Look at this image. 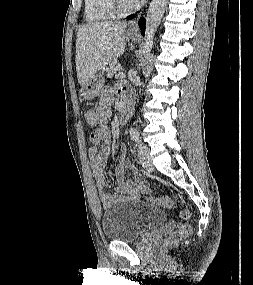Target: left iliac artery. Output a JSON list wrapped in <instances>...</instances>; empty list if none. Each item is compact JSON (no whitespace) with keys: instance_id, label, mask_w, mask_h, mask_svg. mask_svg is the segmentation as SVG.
I'll use <instances>...</instances> for the list:
<instances>
[{"instance_id":"44dca946","label":"left iliac artery","mask_w":253,"mask_h":285,"mask_svg":"<svg viewBox=\"0 0 253 285\" xmlns=\"http://www.w3.org/2000/svg\"><path fill=\"white\" fill-rule=\"evenodd\" d=\"M132 139L137 143V144H141V137L139 135V133H133L132 134Z\"/></svg>"}]
</instances>
